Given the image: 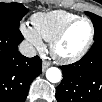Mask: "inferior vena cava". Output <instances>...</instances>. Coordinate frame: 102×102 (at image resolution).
<instances>
[{
  "label": "inferior vena cava",
  "instance_id": "inferior-vena-cava-1",
  "mask_svg": "<svg viewBox=\"0 0 102 102\" xmlns=\"http://www.w3.org/2000/svg\"><path fill=\"white\" fill-rule=\"evenodd\" d=\"M19 51L22 55L26 56V57H34L37 54L36 49L34 48L33 45H31L29 42L27 41H23L20 43L19 45Z\"/></svg>",
  "mask_w": 102,
  "mask_h": 102
}]
</instances>
